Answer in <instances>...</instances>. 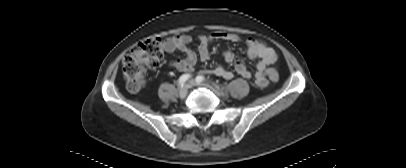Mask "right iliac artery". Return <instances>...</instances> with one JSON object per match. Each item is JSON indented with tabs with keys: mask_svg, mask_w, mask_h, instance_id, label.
<instances>
[{
	"mask_svg": "<svg viewBox=\"0 0 406 168\" xmlns=\"http://www.w3.org/2000/svg\"><path fill=\"white\" fill-rule=\"evenodd\" d=\"M191 77L190 74H183L182 76H180L178 82L180 86H183L184 83Z\"/></svg>",
	"mask_w": 406,
	"mask_h": 168,
	"instance_id": "1",
	"label": "right iliac artery"
}]
</instances>
